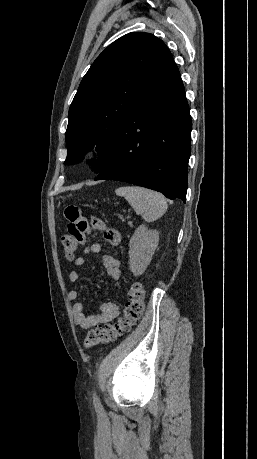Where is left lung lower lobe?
I'll list each match as a JSON object with an SVG mask.
<instances>
[{"label":"left lung lower lobe","instance_id":"0a47b994","mask_svg":"<svg viewBox=\"0 0 257 459\" xmlns=\"http://www.w3.org/2000/svg\"><path fill=\"white\" fill-rule=\"evenodd\" d=\"M191 117L170 55L121 123L110 159L95 180H119L184 202Z\"/></svg>","mask_w":257,"mask_h":459}]
</instances>
